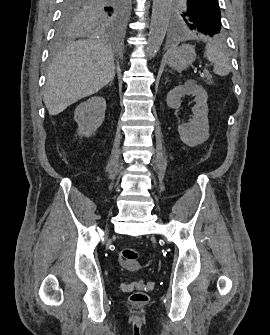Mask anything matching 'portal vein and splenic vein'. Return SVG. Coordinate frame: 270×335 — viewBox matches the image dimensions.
Segmentation results:
<instances>
[{"mask_svg": "<svg viewBox=\"0 0 270 335\" xmlns=\"http://www.w3.org/2000/svg\"><path fill=\"white\" fill-rule=\"evenodd\" d=\"M215 64L212 62V63H206V67L208 68V69H210L211 67H213ZM204 72H207V70H204Z\"/></svg>", "mask_w": 270, "mask_h": 335, "instance_id": "portal-vein-and-splenic-vein-1", "label": "portal vein and splenic vein"}]
</instances>
